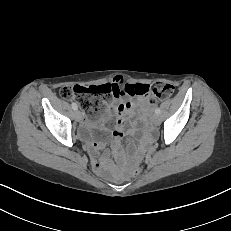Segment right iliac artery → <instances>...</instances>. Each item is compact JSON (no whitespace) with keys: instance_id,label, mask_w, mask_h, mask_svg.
<instances>
[{"instance_id":"obj_1","label":"right iliac artery","mask_w":231,"mask_h":231,"mask_svg":"<svg viewBox=\"0 0 231 231\" xmlns=\"http://www.w3.org/2000/svg\"><path fill=\"white\" fill-rule=\"evenodd\" d=\"M72 108L74 109V110H77L78 109V106H77V104L76 103H72Z\"/></svg>"}]
</instances>
